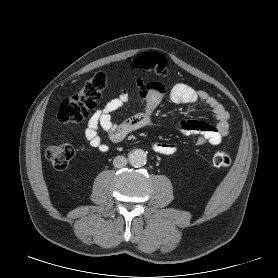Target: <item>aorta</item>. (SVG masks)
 I'll list each match as a JSON object with an SVG mask.
<instances>
[{"mask_svg": "<svg viewBox=\"0 0 278 278\" xmlns=\"http://www.w3.org/2000/svg\"><path fill=\"white\" fill-rule=\"evenodd\" d=\"M128 160L131 166L140 168L146 164L147 156L142 149H135L128 154Z\"/></svg>", "mask_w": 278, "mask_h": 278, "instance_id": "aorta-1", "label": "aorta"}]
</instances>
